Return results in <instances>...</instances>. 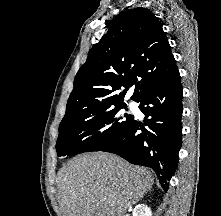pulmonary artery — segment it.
Segmentation results:
<instances>
[{"label": "pulmonary artery", "mask_w": 221, "mask_h": 216, "mask_svg": "<svg viewBox=\"0 0 221 216\" xmlns=\"http://www.w3.org/2000/svg\"><path fill=\"white\" fill-rule=\"evenodd\" d=\"M130 105H131V106H133L134 104H133V103H131Z\"/></svg>", "instance_id": "obj_1"}]
</instances>
